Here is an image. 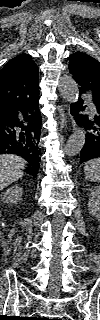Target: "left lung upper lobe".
Wrapping results in <instances>:
<instances>
[{
    "label": "left lung upper lobe",
    "instance_id": "1",
    "mask_svg": "<svg viewBox=\"0 0 100 320\" xmlns=\"http://www.w3.org/2000/svg\"><path fill=\"white\" fill-rule=\"evenodd\" d=\"M68 68L79 88L100 100V63L86 53L76 52L70 55Z\"/></svg>",
    "mask_w": 100,
    "mask_h": 320
}]
</instances>
